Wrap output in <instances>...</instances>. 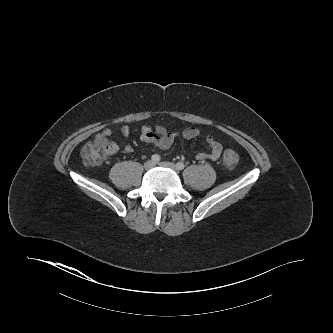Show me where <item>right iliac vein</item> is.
I'll return each instance as SVG.
<instances>
[{
	"label": "right iliac vein",
	"mask_w": 333,
	"mask_h": 333,
	"mask_svg": "<svg viewBox=\"0 0 333 333\" xmlns=\"http://www.w3.org/2000/svg\"><path fill=\"white\" fill-rule=\"evenodd\" d=\"M154 166H155V163L152 162L151 160L146 161V162L144 163V168H145L146 170L152 169Z\"/></svg>",
	"instance_id": "63e3f726"
}]
</instances>
